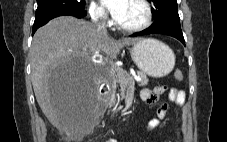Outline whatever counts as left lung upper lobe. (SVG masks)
Returning <instances> with one entry per match:
<instances>
[{
	"label": "left lung upper lobe",
	"instance_id": "left-lung-upper-lobe-1",
	"mask_svg": "<svg viewBox=\"0 0 227 142\" xmlns=\"http://www.w3.org/2000/svg\"><path fill=\"white\" fill-rule=\"evenodd\" d=\"M154 4L152 9L153 24H171L180 26L178 7L176 0H151Z\"/></svg>",
	"mask_w": 227,
	"mask_h": 142
}]
</instances>
